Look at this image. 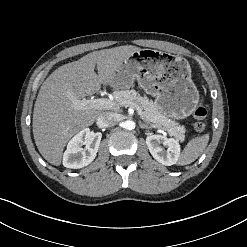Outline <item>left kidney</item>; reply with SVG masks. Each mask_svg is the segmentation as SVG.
<instances>
[{
    "label": "left kidney",
    "instance_id": "obj_1",
    "mask_svg": "<svg viewBox=\"0 0 247 247\" xmlns=\"http://www.w3.org/2000/svg\"><path fill=\"white\" fill-rule=\"evenodd\" d=\"M146 144L153 158L162 165L171 166L178 162L180 156L178 140L162 135H150L146 138Z\"/></svg>",
    "mask_w": 247,
    "mask_h": 247
}]
</instances>
